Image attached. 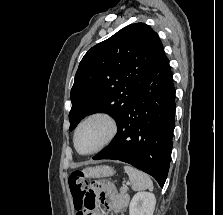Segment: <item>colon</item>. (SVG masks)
<instances>
[{
  "label": "colon",
  "mask_w": 223,
  "mask_h": 215,
  "mask_svg": "<svg viewBox=\"0 0 223 215\" xmlns=\"http://www.w3.org/2000/svg\"><path fill=\"white\" fill-rule=\"evenodd\" d=\"M69 187L77 215H91L94 206L85 203L86 181L83 172L75 171L69 176Z\"/></svg>",
  "instance_id": "1"
}]
</instances>
